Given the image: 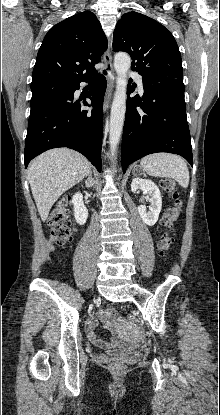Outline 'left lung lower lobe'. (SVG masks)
I'll return each instance as SVG.
<instances>
[{
  "mask_svg": "<svg viewBox=\"0 0 220 415\" xmlns=\"http://www.w3.org/2000/svg\"><path fill=\"white\" fill-rule=\"evenodd\" d=\"M141 76L142 98L135 96L127 101L121 149L123 173L132 162L157 152L181 155L193 166L182 78ZM130 93L132 89L128 88V96Z\"/></svg>",
  "mask_w": 220,
  "mask_h": 415,
  "instance_id": "0a47b994",
  "label": "left lung lower lobe"
}]
</instances>
